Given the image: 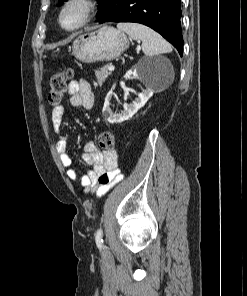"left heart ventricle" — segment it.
<instances>
[{"label": "left heart ventricle", "instance_id": "left-heart-ventricle-1", "mask_svg": "<svg viewBox=\"0 0 247 296\" xmlns=\"http://www.w3.org/2000/svg\"><path fill=\"white\" fill-rule=\"evenodd\" d=\"M80 18V10L78 8L70 9L64 16V24L72 26L78 22Z\"/></svg>", "mask_w": 247, "mask_h": 296}]
</instances>
